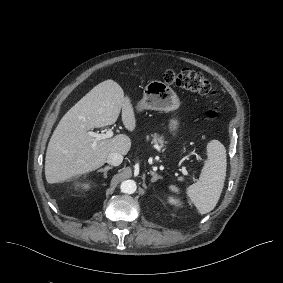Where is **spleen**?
I'll return each mask as SVG.
<instances>
[{
    "mask_svg": "<svg viewBox=\"0 0 283 283\" xmlns=\"http://www.w3.org/2000/svg\"><path fill=\"white\" fill-rule=\"evenodd\" d=\"M207 151L209 163L203 168L198 182L188 191L201 214L210 212L217 205L227 172L225 146L218 140H212L207 145Z\"/></svg>",
    "mask_w": 283,
    "mask_h": 283,
    "instance_id": "spleen-1",
    "label": "spleen"
}]
</instances>
